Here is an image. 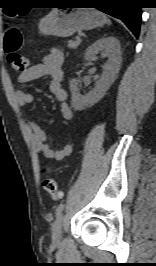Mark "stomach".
<instances>
[{
    "instance_id": "0dacf381",
    "label": "stomach",
    "mask_w": 156,
    "mask_h": 266,
    "mask_svg": "<svg viewBox=\"0 0 156 266\" xmlns=\"http://www.w3.org/2000/svg\"><path fill=\"white\" fill-rule=\"evenodd\" d=\"M67 7L73 6L54 9L40 21L39 30L43 35L69 37L76 31L94 29L105 23V15L98 10Z\"/></svg>"
}]
</instances>
